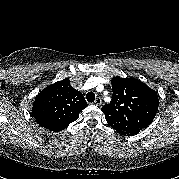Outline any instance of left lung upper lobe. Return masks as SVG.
I'll list each match as a JSON object with an SVG mask.
<instances>
[{"instance_id": "5c2ea615", "label": "left lung upper lobe", "mask_w": 179, "mask_h": 179, "mask_svg": "<svg viewBox=\"0 0 179 179\" xmlns=\"http://www.w3.org/2000/svg\"><path fill=\"white\" fill-rule=\"evenodd\" d=\"M112 101L102 107L107 123L119 134L131 136L146 128L159 105L157 93L135 78H112Z\"/></svg>"}]
</instances>
